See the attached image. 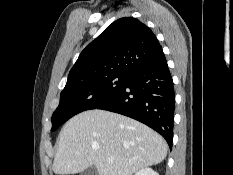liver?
<instances>
[{"instance_id":"6515ba94","label":"liver","mask_w":233,"mask_h":175,"mask_svg":"<svg viewBox=\"0 0 233 175\" xmlns=\"http://www.w3.org/2000/svg\"><path fill=\"white\" fill-rule=\"evenodd\" d=\"M167 143L157 132L132 118L88 110L72 117L59 134L53 171L77 174L94 165L99 175H132L161 163ZM113 158V163H108Z\"/></svg>"}]
</instances>
